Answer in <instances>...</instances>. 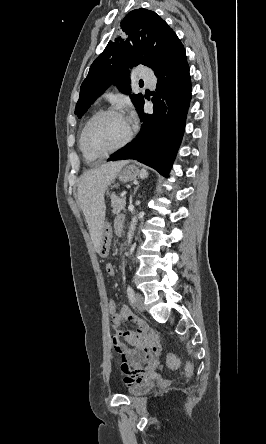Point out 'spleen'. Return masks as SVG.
Wrapping results in <instances>:
<instances>
[{
  "mask_svg": "<svg viewBox=\"0 0 266 444\" xmlns=\"http://www.w3.org/2000/svg\"><path fill=\"white\" fill-rule=\"evenodd\" d=\"M142 171H143V173H144V176H146V175H147V172H146V170H145V169H143Z\"/></svg>",
  "mask_w": 266,
  "mask_h": 444,
  "instance_id": "obj_1",
  "label": "spleen"
}]
</instances>
